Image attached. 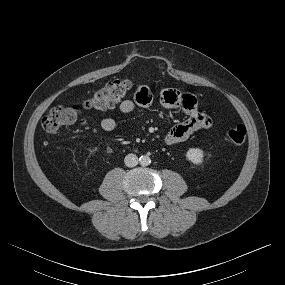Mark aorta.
<instances>
[{
  "label": "aorta",
  "mask_w": 285,
  "mask_h": 285,
  "mask_svg": "<svg viewBox=\"0 0 285 285\" xmlns=\"http://www.w3.org/2000/svg\"><path fill=\"white\" fill-rule=\"evenodd\" d=\"M139 162L142 166H148L150 165L151 163V159L148 155H142L140 158H139Z\"/></svg>",
  "instance_id": "762f6f07"
}]
</instances>
